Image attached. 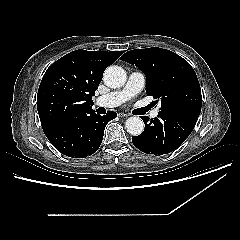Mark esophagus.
I'll list each match as a JSON object with an SVG mask.
<instances>
[{
	"mask_svg": "<svg viewBox=\"0 0 240 240\" xmlns=\"http://www.w3.org/2000/svg\"><path fill=\"white\" fill-rule=\"evenodd\" d=\"M118 116L121 117V118H124V117H128L129 115L121 112V113H118Z\"/></svg>",
	"mask_w": 240,
	"mask_h": 240,
	"instance_id": "obj_1",
	"label": "esophagus"
}]
</instances>
